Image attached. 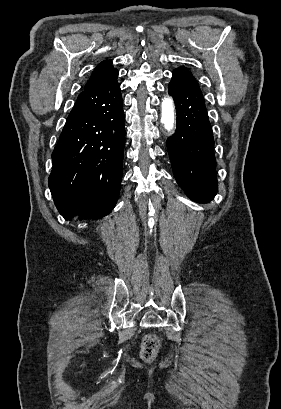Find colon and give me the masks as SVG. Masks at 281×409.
Listing matches in <instances>:
<instances>
[{"mask_svg": "<svg viewBox=\"0 0 281 409\" xmlns=\"http://www.w3.org/2000/svg\"><path fill=\"white\" fill-rule=\"evenodd\" d=\"M158 340L155 335L148 334L144 340V346L142 350V357L145 360H152L158 351Z\"/></svg>", "mask_w": 281, "mask_h": 409, "instance_id": "obj_1", "label": "colon"}]
</instances>
